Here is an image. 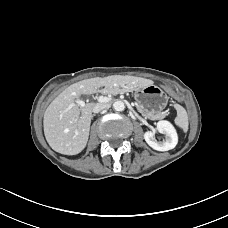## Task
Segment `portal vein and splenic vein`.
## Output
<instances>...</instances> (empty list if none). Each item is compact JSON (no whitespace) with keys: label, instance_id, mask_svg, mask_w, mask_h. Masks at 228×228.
Returning a JSON list of instances; mask_svg holds the SVG:
<instances>
[{"label":"portal vein and splenic vein","instance_id":"18ae733b","mask_svg":"<svg viewBox=\"0 0 228 228\" xmlns=\"http://www.w3.org/2000/svg\"><path fill=\"white\" fill-rule=\"evenodd\" d=\"M110 100V98L105 97V96H99L98 97V101L99 102H108ZM80 106V107H84L85 106V102L83 100H77L74 104H72L71 106Z\"/></svg>","mask_w":228,"mask_h":228}]
</instances>
